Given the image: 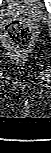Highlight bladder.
<instances>
[{"instance_id": "obj_1", "label": "bladder", "mask_w": 51, "mask_h": 153, "mask_svg": "<svg viewBox=\"0 0 51 153\" xmlns=\"http://www.w3.org/2000/svg\"><path fill=\"white\" fill-rule=\"evenodd\" d=\"M6 11L30 21L39 22L45 14L43 0H7Z\"/></svg>"}]
</instances>
